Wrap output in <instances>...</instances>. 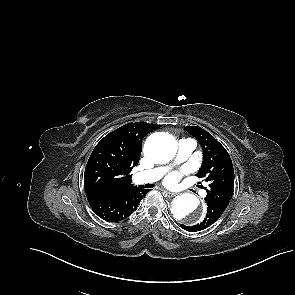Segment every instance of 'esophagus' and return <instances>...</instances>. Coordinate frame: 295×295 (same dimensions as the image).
Here are the masks:
<instances>
[{"mask_svg":"<svg viewBox=\"0 0 295 295\" xmlns=\"http://www.w3.org/2000/svg\"><path fill=\"white\" fill-rule=\"evenodd\" d=\"M163 193L168 196V197H174L176 195V193H173V192H169L167 190H163Z\"/></svg>","mask_w":295,"mask_h":295,"instance_id":"34e87169","label":"esophagus"}]
</instances>
